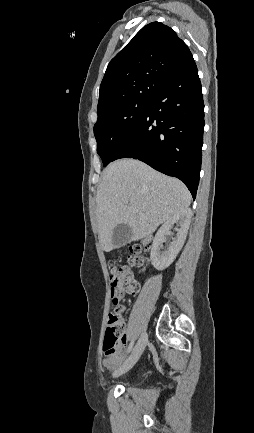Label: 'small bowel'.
<instances>
[{
	"label": "small bowel",
	"instance_id": "small-bowel-1",
	"mask_svg": "<svg viewBox=\"0 0 254 433\" xmlns=\"http://www.w3.org/2000/svg\"><path fill=\"white\" fill-rule=\"evenodd\" d=\"M125 292L122 291H117L114 293V295L116 296V298L119 300L123 299L125 296ZM120 310L123 312L124 311V307L121 306ZM123 322V320H122ZM124 323V322H123ZM126 348V337L124 335L123 337V341L122 344L119 346L118 348V352L116 354H112V355H106L105 359H104V366L109 368V369H117L120 364L122 363V360L124 359V349Z\"/></svg>",
	"mask_w": 254,
	"mask_h": 433
}]
</instances>
